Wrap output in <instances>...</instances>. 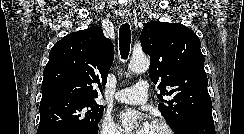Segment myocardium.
<instances>
[{"mask_svg":"<svg viewBox=\"0 0 244 134\" xmlns=\"http://www.w3.org/2000/svg\"><path fill=\"white\" fill-rule=\"evenodd\" d=\"M153 125H156L158 127H161L166 131L167 134H176L174 129L165 121L163 120H155L153 122Z\"/></svg>","mask_w":244,"mask_h":134,"instance_id":"myocardium-1","label":"myocardium"}]
</instances>
